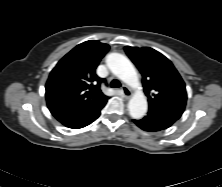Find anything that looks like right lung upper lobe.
I'll return each instance as SVG.
<instances>
[{
	"label": "right lung upper lobe",
	"mask_w": 222,
	"mask_h": 187,
	"mask_svg": "<svg viewBox=\"0 0 222 187\" xmlns=\"http://www.w3.org/2000/svg\"><path fill=\"white\" fill-rule=\"evenodd\" d=\"M108 50L109 45L90 40L66 54L47 80L48 108L86 111L105 105L109 97L102 93L100 85L104 79L96 75L95 69Z\"/></svg>",
	"instance_id": "right-lung-upper-lobe-1"
}]
</instances>
